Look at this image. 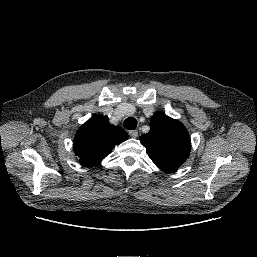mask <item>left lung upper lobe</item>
Segmentation results:
<instances>
[{"instance_id":"1","label":"left lung upper lobe","mask_w":257,"mask_h":257,"mask_svg":"<svg viewBox=\"0 0 257 257\" xmlns=\"http://www.w3.org/2000/svg\"><path fill=\"white\" fill-rule=\"evenodd\" d=\"M150 159L163 171L179 168L188 158L190 136L181 122L157 112L150 122V131L140 137Z\"/></svg>"}]
</instances>
